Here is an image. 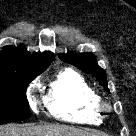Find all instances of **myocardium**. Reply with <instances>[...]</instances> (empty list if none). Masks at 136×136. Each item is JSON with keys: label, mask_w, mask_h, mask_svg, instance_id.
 <instances>
[{"label": "myocardium", "mask_w": 136, "mask_h": 136, "mask_svg": "<svg viewBox=\"0 0 136 136\" xmlns=\"http://www.w3.org/2000/svg\"><path fill=\"white\" fill-rule=\"evenodd\" d=\"M98 109L101 112H109L111 110V106L109 103L100 100L99 104H98Z\"/></svg>", "instance_id": "myocardium-1"}]
</instances>
